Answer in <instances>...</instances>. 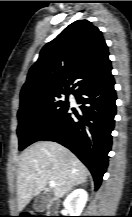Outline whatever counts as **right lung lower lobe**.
I'll use <instances>...</instances> for the list:
<instances>
[{"mask_svg": "<svg viewBox=\"0 0 132 217\" xmlns=\"http://www.w3.org/2000/svg\"><path fill=\"white\" fill-rule=\"evenodd\" d=\"M114 79L73 93L80 113L68 107L40 140L55 141L69 148L90 170L98 189L108 165L111 132L116 114ZM74 113L77 121L71 118Z\"/></svg>", "mask_w": 132, "mask_h": 217, "instance_id": "obj_1", "label": "right lung lower lobe"}]
</instances>
